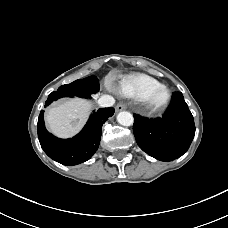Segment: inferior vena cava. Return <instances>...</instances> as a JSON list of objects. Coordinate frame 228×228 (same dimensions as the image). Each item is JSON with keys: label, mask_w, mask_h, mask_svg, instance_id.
I'll list each match as a JSON object with an SVG mask.
<instances>
[{"label": "inferior vena cava", "mask_w": 228, "mask_h": 228, "mask_svg": "<svg viewBox=\"0 0 228 228\" xmlns=\"http://www.w3.org/2000/svg\"><path fill=\"white\" fill-rule=\"evenodd\" d=\"M115 103V100L112 96L109 95H102L99 99H98V104L100 107H111L113 106Z\"/></svg>", "instance_id": "602c4592"}]
</instances>
